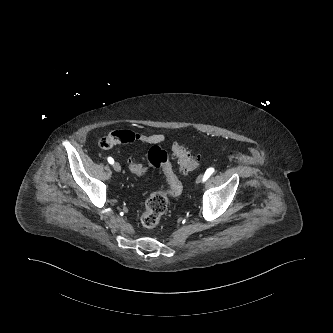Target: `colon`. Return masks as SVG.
I'll use <instances>...</instances> for the list:
<instances>
[{
	"mask_svg": "<svg viewBox=\"0 0 333 333\" xmlns=\"http://www.w3.org/2000/svg\"><path fill=\"white\" fill-rule=\"evenodd\" d=\"M113 145L114 141L111 136L104 137L99 141V147L105 150L110 149ZM171 154L177 160L182 172L192 171L198 165L199 159L193 156L183 144H173ZM149 167L161 169L167 182L165 188L150 195L140 217L141 224L145 228L151 229L158 225L165 214L169 204V196H179L183 186L175 174L168 153L160 146L155 145L148 150L145 162L136 158L128 159V168L135 175L145 174Z\"/></svg>",
	"mask_w": 333,
	"mask_h": 333,
	"instance_id": "5ec220e1",
	"label": "colon"
}]
</instances>
